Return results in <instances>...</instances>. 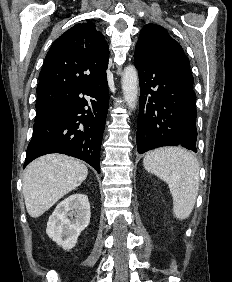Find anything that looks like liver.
<instances>
[{
  "label": "liver",
  "mask_w": 232,
  "mask_h": 282,
  "mask_svg": "<svg viewBox=\"0 0 232 282\" xmlns=\"http://www.w3.org/2000/svg\"><path fill=\"white\" fill-rule=\"evenodd\" d=\"M87 174L83 162L62 154H48L31 162L23 175V194L29 215L41 216L81 185Z\"/></svg>",
  "instance_id": "6515ba94"
}]
</instances>
